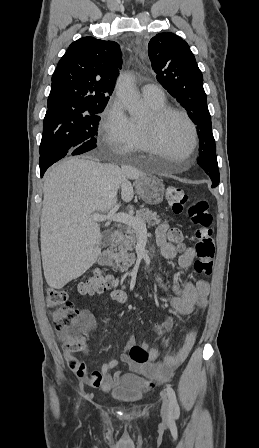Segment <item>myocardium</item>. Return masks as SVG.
<instances>
[{
    "label": "myocardium",
    "instance_id": "1",
    "mask_svg": "<svg viewBox=\"0 0 259 448\" xmlns=\"http://www.w3.org/2000/svg\"><path fill=\"white\" fill-rule=\"evenodd\" d=\"M178 116L185 121L191 132V144L189 147V160L195 162L196 148L198 144L197 128L190 116L183 110L175 107L165 106L159 110H152L147 121L142 123V132L147 145L144 151L146 154L152 155L156 150L164 149L160 142V128L162 123L169 117ZM149 171H158L153 169Z\"/></svg>",
    "mask_w": 259,
    "mask_h": 448
}]
</instances>
